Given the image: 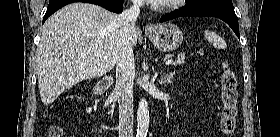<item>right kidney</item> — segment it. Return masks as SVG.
<instances>
[{
	"label": "right kidney",
	"instance_id": "ca27d5eb",
	"mask_svg": "<svg viewBox=\"0 0 280 137\" xmlns=\"http://www.w3.org/2000/svg\"><path fill=\"white\" fill-rule=\"evenodd\" d=\"M91 110H92V108L89 107L88 109H86V112H87V113H90Z\"/></svg>",
	"mask_w": 280,
	"mask_h": 137
}]
</instances>
